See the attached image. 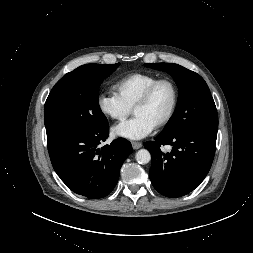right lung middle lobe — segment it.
<instances>
[{
  "label": "right lung middle lobe",
  "instance_id": "1",
  "mask_svg": "<svg viewBox=\"0 0 253 253\" xmlns=\"http://www.w3.org/2000/svg\"><path fill=\"white\" fill-rule=\"evenodd\" d=\"M119 65L85 64L64 75L45 103L47 137L70 130H93L107 124L99 106L98 89Z\"/></svg>",
  "mask_w": 253,
  "mask_h": 253
}]
</instances>
